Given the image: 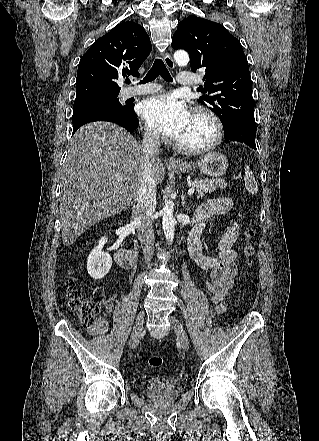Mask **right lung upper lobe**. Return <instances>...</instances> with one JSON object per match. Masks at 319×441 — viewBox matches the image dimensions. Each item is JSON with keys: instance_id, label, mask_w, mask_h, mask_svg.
Here are the masks:
<instances>
[{"instance_id": "1", "label": "right lung upper lobe", "mask_w": 319, "mask_h": 441, "mask_svg": "<svg viewBox=\"0 0 319 441\" xmlns=\"http://www.w3.org/2000/svg\"><path fill=\"white\" fill-rule=\"evenodd\" d=\"M151 49L149 36L139 24L127 21L114 27L80 59L75 101L118 96L116 80L139 77L138 69Z\"/></svg>"}]
</instances>
